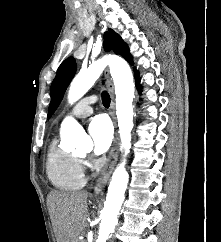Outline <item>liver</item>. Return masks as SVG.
<instances>
[{"label": "liver", "mask_w": 221, "mask_h": 242, "mask_svg": "<svg viewBox=\"0 0 221 242\" xmlns=\"http://www.w3.org/2000/svg\"><path fill=\"white\" fill-rule=\"evenodd\" d=\"M88 193L52 191L47 205L57 242H79L89 216Z\"/></svg>", "instance_id": "obj_1"}]
</instances>
